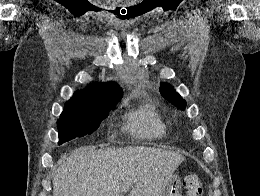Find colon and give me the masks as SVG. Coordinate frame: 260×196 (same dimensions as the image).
I'll return each instance as SVG.
<instances>
[{
    "label": "colon",
    "instance_id": "5ec220e1",
    "mask_svg": "<svg viewBox=\"0 0 260 196\" xmlns=\"http://www.w3.org/2000/svg\"><path fill=\"white\" fill-rule=\"evenodd\" d=\"M183 184L187 188V196H203L202 180L197 174L186 175Z\"/></svg>",
    "mask_w": 260,
    "mask_h": 196
}]
</instances>
